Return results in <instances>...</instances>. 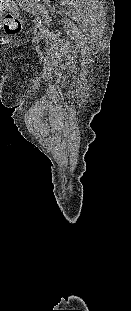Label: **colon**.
Listing matches in <instances>:
<instances>
[{
  "instance_id": "1",
  "label": "colon",
  "mask_w": 131,
  "mask_h": 311,
  "mask_svg": "<svg viewBox=\"0 0 131 311\" xmlns=\"http://www.w3.org/2000/svg\"><path fill=\"white\" fill-rule=\"evenodd\" d=\"M0 12H6L3 17V28L7 34L15 35L22 29V19L14 0H0Z\"/></svg>"
}]
</instances>
